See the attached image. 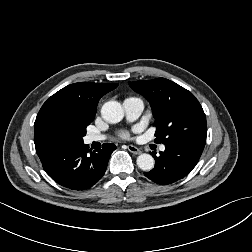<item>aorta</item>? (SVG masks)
Here are the masks:
<instances>
[{
  "mask_svg": "<svg viewBox=\"0 0 252 252\" xmlns=\"http://www.w3.org/2000/svg\"><path fill=\"white\" fill-rule=\"evenodd\" d=\"M101 115L103 119L109 123H118L124 117V110L119 102L108 101L103 104ZM136 162L138 167L143 171L152 170L155 164L154 158L146 153L139 155Z\"/></svg>",
  "mask_w": 252,
  "mask_h": 252,
  "instance_id": "obj_1",
  "label": "aorta"
}]
</instances>
